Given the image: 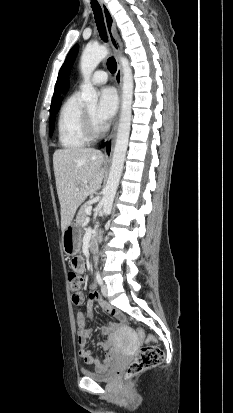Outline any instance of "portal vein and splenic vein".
I'll return each instance as SVG.
<instances>
[{"mask_svg":"<svg viewBox=\"0 0 233 413\" xmlns=\"http://www.w3.org/2000/svg\"><path fill=\"white\" fill-rule=\"evenodd\" d=\"M76 190H79L78 188L76 189ZM86 213H87V215H91V213H92V207L91 206H89L88 208H86ZM86 220H89V217H87V219Z\"/></svg>","mask_w":233,"mask_h":413,"instance_id":"1","label":"portal vein and splenic vein"}]
</instances>
